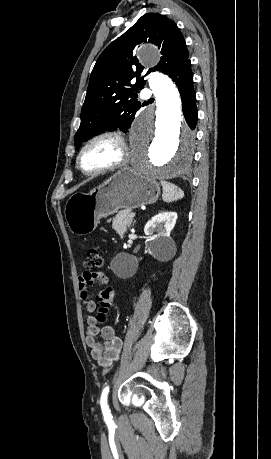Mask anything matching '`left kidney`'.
Masks as SVG:
<instances>
[{"mask_svg": "<svg viewBox=\"0 0 271 459\" xmlns=\"http://www.w3.org/2000/svg\"><path fill=\"white\" fill-rule=\"evenodd\" d=\"M176 220V212H159L157 216L147 222L144 231L147 237H150L148 251L154 257H160L163 253H168L172 245H174V241L170 237V231L174 228ZM154 231H157L155 235H153Z\"/></svg>", "mask_w": 271, "mask_h": 459, "instance_id": "obj_1", "label": "left kidney"}]
</instances>
